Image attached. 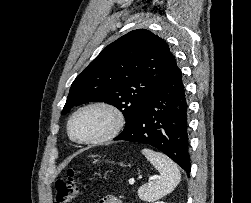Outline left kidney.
Listing matches in <instances>:
<instances>
[{"label": "left kidney", "mask_w": 251, "mask_h": 203, "mask_svg": "<svg viewBox=\"0 0 251 203\" xmlns=\"http://www.w3.org/2000/svg\"><path fill=\"white\" fill-rule=\"evenodd\" d=\"M156 203H165V202H163V201H158V202H156Z\"/></svg>", "instance_id": "left-kidney-1"}]
</instances>
